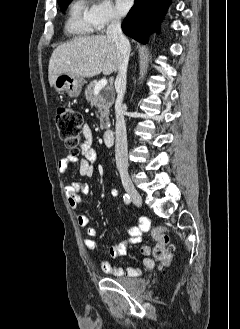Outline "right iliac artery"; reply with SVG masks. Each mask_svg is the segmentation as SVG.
<instances>
[{"mask_svg": "<svg viewBox=\"0 0 240 329\" xmlns=\"http://www.w3.org/2000/svg\"><path fill=\"white\" fill-rule=\"evenodd\" d=\"M123 199L126 204H129L131 202L130 196L128 194H124Z\"/></svg>", "mask_w": 240, "mask_h": 329, "instance_id": "right-iliac-artery-1", "label": "right iliac artery"}]
</instances>
